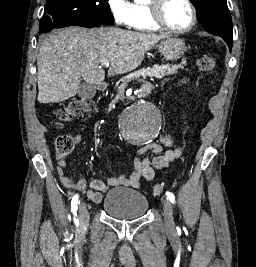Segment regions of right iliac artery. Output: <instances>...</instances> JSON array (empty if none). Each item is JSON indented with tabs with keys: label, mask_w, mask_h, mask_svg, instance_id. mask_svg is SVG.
I'll return each mask as SVG.
<instances>
[{
	"label": "right iliac artery",
	"mask_w": 256,
	"mask_h": 267,
	"mask_svg": "<svg viewBox=\"0 0 256 267\" xmlns=\"http://www.w3.org/2000/svg\"><path fill=\"white\" fill-rule=\"evenodd\" d=\"M78 195H75L73 198H72V201H71V212L74 214V220H77L76 219V216H77V209H78Z\"/></svg>",
	"instance_id": "obj_1"
}]
</instances>
